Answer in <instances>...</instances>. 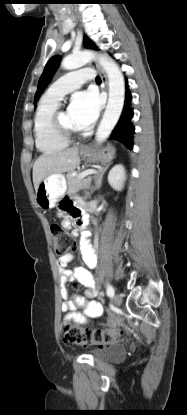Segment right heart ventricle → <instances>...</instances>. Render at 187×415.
Here are the masks:
<instances>
[{"mask_svg": "<svg viewBox=\"0 0 187 415\" xmlns=\"http://www.w3.org/2000/svg\"><path fill=\"white\" fill-rule=\"evenodd\" d=\"M58 101L46 96L40 101L34 116V135L36 147L44 154H52L65 149L69 141L60 137L52 124L53 114L57 110Z\"/></svg>", "mask_w": 187, "mask_h": 415, "instance_id": "obj_1", "label": "right heart ventricle"}]
</instances>
